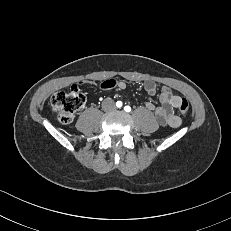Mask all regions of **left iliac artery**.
Wrapping results in <instances>:
<instances>
[{"label": "left iliac artery", "mask_w": 231, "mask_h": 231, "mask_svg": "<svg viewBox=\"0 0 231 231\" xmlns=\"http://www.w3.org/2000/svg\"><path fill=\"white\" fill-rule=\"evenodd\" d=\"M124 110H125L126 112H130V111H131V108H130L129 106H125V107H124Z\"/></svg>", "instance_id": "left-iliac-artery-1"}]
</instances>
